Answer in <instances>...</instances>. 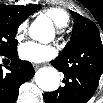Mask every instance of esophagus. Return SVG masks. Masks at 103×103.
I'll return each mask as SVG.
<instances>
[{"label": "esophagus", "instance_id": "1", "mask_svg": "<svg viewBox=\"0 0 103 103\" xmlns=\"http://www.w3.org/2000/svg\"><path fill=\"white\" fill-rule=\"evenodd\" d=\"M33 65V68L36 70V69H38L39 67H41V65L40 64H32Z\"/></svg>", "mask_w": 103, "mask_h": 103}]
</instances>
